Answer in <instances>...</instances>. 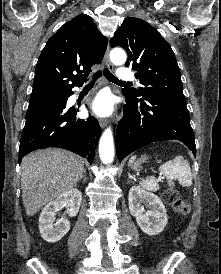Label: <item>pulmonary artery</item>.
<instances>
[{
  "label": "pulmonary artery",
  "instance_id": "obj_1",
  "mask_svg": "<svg viewBox=\"0 0 221 274\" xmlns=\"http://www.w3.org/2000/svg\"><path fill=\"white\" fill-rule=\"evenodd\" d=\"M117 78L121 81H131L134 79V73L125 67H122L117 72Z\"/></svg>",
  "mask_w": 221,
  "mask_h": 274
}]
</instances>
